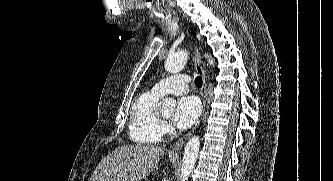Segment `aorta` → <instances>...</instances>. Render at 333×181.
I'll use <instances>...</instances> for the list:
<instances>
[{"mask_svg": "<svg viewBox=\"0 0 333 181\" xmlns=\"http://www.w3.org/2000/svg\"><path fill=\"white\" fill-rule=\"evenodd\" d=\"M208 59L210 65L214 66V59L208 54L205 55ZM188 59V53L186 51H179L173 56H169L165 61V69L170 73L180 72ZM175 105V101L172 98H164L160 102V107L162 110H170ZM200 149V138L198 136H193L186 143L183 153L182 166H181V176L180 181H187L190 173L192 172Z\"/></svg>", "mask_w": 333, "mask_h": 181, "instance_id": "762f6f07", "label": "aorta"}]
</instances>
